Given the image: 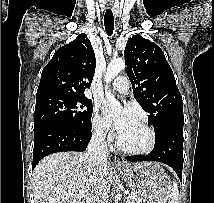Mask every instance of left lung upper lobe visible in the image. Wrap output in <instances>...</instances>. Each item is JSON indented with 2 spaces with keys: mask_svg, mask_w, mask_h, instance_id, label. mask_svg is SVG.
<instances>
[{
  "mask_svg": "<svg viewBox=\"0 0 214 203\" xmlns=\"http://www.w3.org/2000/svg\"><path fill=\"white\" fill-rule=\"evenodd\" d=\"M124 55L134 97L149 114L155 137L170 126L184 125L182 96L160 47L134 35L128 40Z\"/></svg>",
  "mask_w": 214,
  "mask_h": 203,
  "instance_id": "5c2ea615",
  "label": "left lung upper lobe"
}]
</instances>
